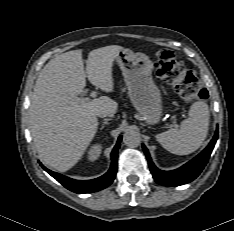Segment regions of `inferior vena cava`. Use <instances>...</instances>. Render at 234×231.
I'll list each match as a JSON object with an SVG mask.
<instances>
[{"mask_svg":"<svg viewBox=\"0 0 234 231\" xmlns=\"http://www.w3.org/2000/svg\"><path fill=\"white\" fill-rule=\"evenodd\" d=\"M99 117L103 118V117H113V114L108 112V111H101L97 114Z\"/></svg>","mask_w":234,"mask_h":231,"instance_id":"602c4592","label":"inferior vena cava"}]
</instances>
